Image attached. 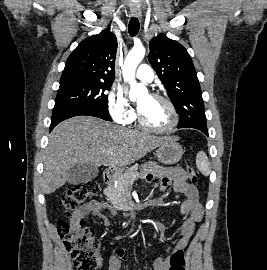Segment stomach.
<instances>
[{
    "mask_svg": "<svg viewBox=\"0 0 267 270\" xmlns=\"http://www.w3.org/2000/svg\"><path fill=\"white\" fill-rule=\"evenodd\" d=\"M183 155V149L175 138H169L157 147L156 156L163 164H175ZM118 173H121L119 171Z\"/></svg>",
    "mask_w": 267,
    "mask_h": 270,
    "instance_id": "0dacf381",
    "label": "stomach"
}]
</instances>
